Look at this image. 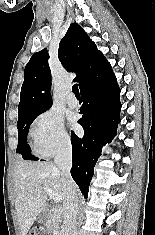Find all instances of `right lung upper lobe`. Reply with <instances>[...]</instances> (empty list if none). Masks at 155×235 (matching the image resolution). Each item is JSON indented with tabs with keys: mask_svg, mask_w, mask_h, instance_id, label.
Instances as JSON below:
<instances>
[{
	"mask_svg": "<svg viewBox=\"0 0 155 235\" xmlns=\"http://www.w3.org/2000/svg\"><path fill=\"white\" fill-rule=\"evenodd\" d=\"M58 57L68 72L77 74L74 81L79 83L80 89L112 70L110 63L77 23L70 24L66 35L60 41ZM48 58V51L44 49L33 54L27 63L18 116L44 112L52 106Z\"/></svg>",
	"mask_w": 155,
	"mask_h": 235,
	"instance_id": "cb5924a9",
	"label": "right lung upper lobe"
}]
</instances>
